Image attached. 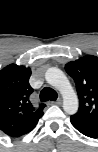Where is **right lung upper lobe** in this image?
Here are the masks:
<instances>
[{
    "label": "right lung upper lobe",
    "instance_id": "obj_1",
    "mask_svg": "<svg viewBox=\"0 0 98 152\" xmlns=\"http://www.w3.org/2000/svg\"><path fill=\"white\" fill-rule=\"evenodd\" d=\"M31 69L10 64L0 71V130L19 137L32 129L43 116L45 104L31 103Z\"/></svg>",
    "mask_w": 98,
    "mask_h": 152
}]
</instances>
